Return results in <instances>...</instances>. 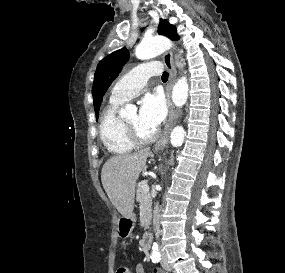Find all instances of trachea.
<instances>
[{"instance_id": "1", "label": "trachea", "mask_w": 285, "mask_h": 273, "mask_svg": "<svg viewBox=\"0 0 285 273\" xmlns=\"http://www.w3.org/2000/svg\"><path fill=\"white\" fill-rule=\"evenodd\" d=\"M162 80H168V73L167 72H164L162 74Z\"/></svg>"}]
</instances>
